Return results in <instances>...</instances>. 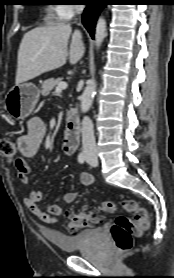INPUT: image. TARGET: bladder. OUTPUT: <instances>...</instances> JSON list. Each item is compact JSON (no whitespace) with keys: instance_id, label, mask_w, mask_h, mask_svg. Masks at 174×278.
I'll return each mask as SVG.
<instances>
[{"instance_id":"31cf9c89","label":"bladder","mask_w":174,"mask_h":278,"mask_svg":"<svg viewBox=\"0 0 174 278\" xmlns=\"http://www.w3.org/2000/svg\"><path fill=\"white\" fill-rule=\"evenodd\" d=\"M100 235L101 229L94 227L73 235L50 231L46 234V237L58 249L64 252H73L91 245L100 238Z\"/></svg>"}]
</instances>
